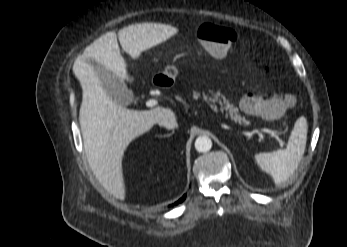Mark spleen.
<instances>
[{
    "label": "spleen",
    "instance_id": "3e777b00",
    "mask_svg": "<svg viewBox=\"0 0 347 247\" xmlns=\"http://www.w3.org/2000/svg\"><path fill=\"white\" fill-rule=\"evenodd\" d=\"M307 130L306 119L300 117L291 132L286 149L255 155L256 163L273 177L277 185L286 182L298 168L305 152Z\"/></svg>",
    "mask_w": 347,
    "mask_h": 247
}]
</instances>
